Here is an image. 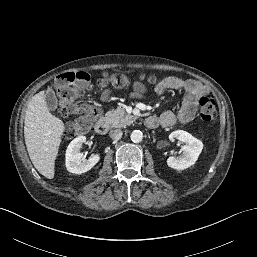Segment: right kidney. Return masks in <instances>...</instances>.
I'll use <instances>...</instances> for the list:
<instances>
[{
    "mask_svg": "<svg viewBox=\"0 0 257 257\" xmlns=\"http://www.w3.org/2000/svg\"><path fill=\"white\" fill-rule=\"evenodd\" d=\"M86 142L85 136H78L72 140L67 147L65 158L66 168L69 172L74 174H81L89 171L100 160V155L94 154L89 159L82 161L83 154L80 152L82 145Z\"/></svg>",
    "mask_w": 257,
    "mask_h": 257,
    "instance_id": "right-kidney-1",
    "label": "right kidney"
}]
</instances>
